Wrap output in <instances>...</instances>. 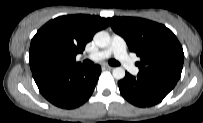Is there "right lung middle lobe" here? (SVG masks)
<instances>
[{
  "instance_id": "dd1d6c3e",
  "label": "right lung middle lobe",
  "mask_w": 203,
  "mask_h": 123,
  "mask_svg": "<svg viewBox=\"0 0 203 123\" xmlns=\"http://www.w3.org/2000/svg\"><path fill=\"white\" fill-rule=\"evenodd\" d=\"M29 63L31 70L65 66L64 52L56 44L37 43L30 47Z\"/></svg>"
}]
</instances>
